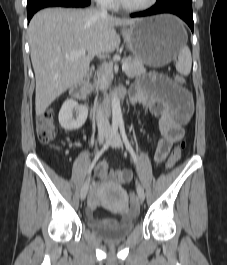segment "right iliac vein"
<instances>
[{"mask_svg":"<svg viewBox=\"0 0 227 265\" xmlns=\"http://www.w3.org/2000/svg\"><path fill=\"white\" fill-rule=\"evenodd\" d=\"M107 134L106 133H101L98 137V142L100 145H102L104 143V140L106 138ZM88 188H89V179H87L82 188H81V192H80V198L81 200H84L86 198L87 192H88Z\"/></svg>","mask_w":227,"mask_h":265,"instance_id":"63e3f726","label":"right iliac vein"}]
</instances>
